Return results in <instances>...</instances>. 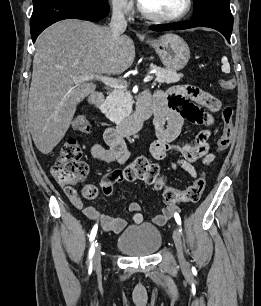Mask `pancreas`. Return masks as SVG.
Listing matches in <instances>:
<instances>
[{
  "mask_svg": "<svg viewBox=\"0 0 261 306\" xmlns=\"http://www.w3.org/2000/svg\"><path fill=\"white\" fill-rule=\"evenodd\" d=\"M151 69L155 70L158 83H176L183 77L182 74L174 70L164 69L151 65ZM106 117L114 123H121L131 112V96L126 87L116 88L112 90L104 102Z\"/></svg>",
  "mask_w": 261,
  "mask_h": 306,
  "instance_id": "1",
  "label": "pancreas"
}]
</instances>
